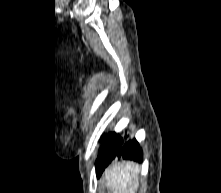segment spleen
<instances>
[{"label": "spleen", "instance_id": "spleen-1", "mask_svg": "<svg viewBox=\"0 0 221 193\" xmlns=\"http://www.w3.org/2000/svg\"><path fill=\"white\" fill-rule=\"evenodd\" d=\"M139 166L130 162L116 163L105 174L106 188L113 193H135Z\"/></svg>", "mask_w": 221, "mask_h": 193}]
</instances>
